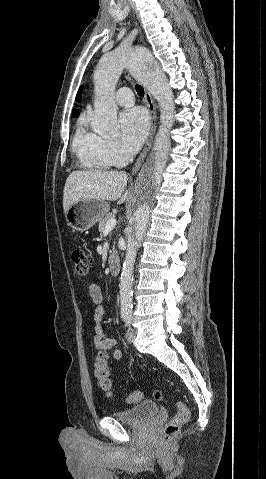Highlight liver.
Listing matches in <instances>:
<instances>
[{
  "label": "liver",
  "instance_id": "obj_1",
  "mask_svg": "<svg viewBox=\"0 0 266 479\" xmlns=\"http://www.w3.org/2000/svg\"><path fill=\"white\" fill-rule=\"evenodd\" d=\"M128 176L122 171H73L66 179L63 191L64 213L77 201L97 199L124 203Z\"/></svg>",
  "mask_w": 266,
  "mask_h": 479
}]
</instances>
